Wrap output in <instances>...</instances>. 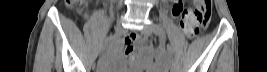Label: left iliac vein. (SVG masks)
<instances>
[{
  "instance_id": "1",
  "label": "left iliac vein",
  "mask_w": 267,
  "mask_h": 72,
  "mask_svg": "<svg viewBox=\"0 0 267 72\" xmlns=\"http://www.w3.org/2000/svg\"><path fill=\"white\" fill-rule=\"evenodd\" d=\"M153 31H154V25H148V26H146L145 28L142 29V33L145 36H150ZM170 71L174 72V67L172 65L170 66Z\"/></svg>"
}]
</instances>
